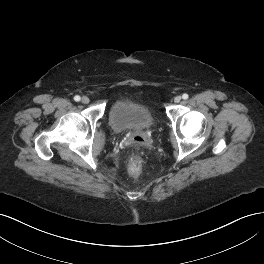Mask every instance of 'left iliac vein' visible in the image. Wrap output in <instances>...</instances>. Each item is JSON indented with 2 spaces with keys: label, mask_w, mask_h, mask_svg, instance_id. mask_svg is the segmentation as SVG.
Wrapping results in <instances>:
<instances>
[{
  "label": "left iliac vein",
  "mask_w": 264,
  "mask_h": 264,
  "mask_svg": "<svg viewBox=\"0 0 264 264\" xmlns=\"http://www.w3.org/2000/svg\"><path fill=\"white\" fill-rule=\"evenodd\" d=\"M181 96H176L175 98H174V102L175 103H179L180 101H181Z\"/></svg>",
  "instance_id": "1"
}]
</instances>
